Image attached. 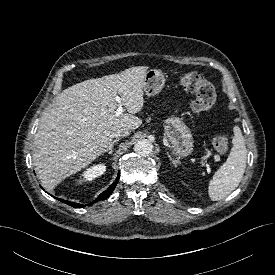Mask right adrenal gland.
<instances>
[{
	"label": "right adrenal gland",
	"instance_id": "right-adrenal-gland-1",
	"mask_svg": "<svg viewBox=\"0 0 275 275\" xmlns=\"http://www.w3.org/2000/svg\"><path fill=\"white\" fill-rule=\"evenodd\" d=\"M118 141H119V139H115L114 141H112L111 144L108 146V148L103 152V154H104V153H107V154L111 155L112 152H113V146H114V144L117 143Z\"/></svg>",
	"mask_w": 275,
	"mask_h": 275
}]
</instances>
